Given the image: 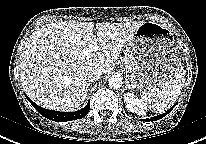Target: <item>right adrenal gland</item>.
Masks as SVG:
<instances>
[{"instance_id":"obj_1","label":"right adrenal gland","mask_w":206,"mask_h":144,"mask_svg":"<svg viewBox=\"0 0 206 144\" xmlns=\"http://www.w3.org/2000/svg\"><path fill=\"white\" fill-rule=\"evenodd\" d=\"M91 86H92V83H89V90H90Z\"/></svg>"}]
</instances>
